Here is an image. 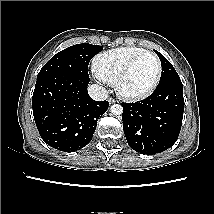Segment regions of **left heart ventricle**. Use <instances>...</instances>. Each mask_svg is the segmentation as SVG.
<instances>
[{"instance_id":"obj_1","label":"left heart ventricle","mask_w":214,"mask_h":214,"mask_svg":"<svg viewBox=\"0 0 214 214\" xmlns=\"http://www.w3.org/2000/svg\"><path fill=\"white\" fill-rule=\"evenodd\" d=\"M157 65L154 58L145 55L133 66L123 83V90L128 93H140L147 90L155 80Z\"/></svg>"}]
</instances>
